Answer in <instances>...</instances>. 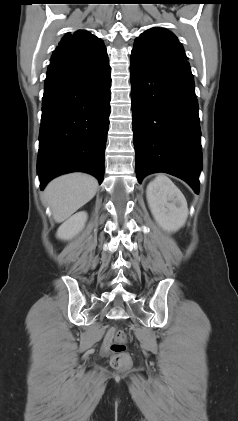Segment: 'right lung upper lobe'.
<instances>
[{"instance_id":"1","label":"right lung upper lobe","mask_w":238,"mask_h":421,"mask_svg":"<svg viewBox=\"0 0 238 421\" xmlns=\"http://www.w3.org/2000/svg\"><path fill=\"white\" fill-rule=\"evenodd\" d=\"M107 57L103 41L85 30L67 33L54 50L50 63L74 62Z\"/></svg>"}]
</instances>
